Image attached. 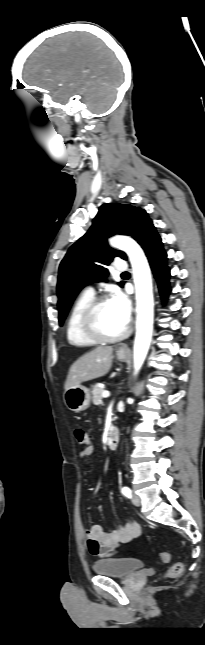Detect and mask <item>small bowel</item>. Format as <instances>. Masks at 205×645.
Wrapping results in <instances>:
<instances>
[{"mask_svg":"<svg viewBox=\"0 0 205 645\" xmlns=\"http://www.w3.org/2000/svg\"><path fill=\"white\" fill-rule=\"evenodd\" d=\"M94 447L88 446L80 452V457L86 459L94 454ZM141 533L140 525L133 519H128L123 525H118L111 531H104L101 525L95 524L85 532L86 545L91 555L108 557L116 553L118 547L128 543Z\"/></svg>","mask_w":205,"mask_h":645,"instance_id":"obj_1","label":"small bowel"}]
</instances>
